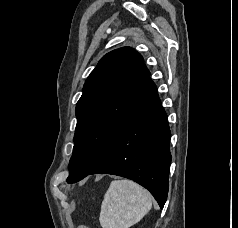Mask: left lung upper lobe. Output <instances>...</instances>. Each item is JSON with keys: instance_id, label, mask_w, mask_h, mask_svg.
Segmentation results:
<instances>
[{"instance_id": "5c2ea615", "label": "left lung upper lobe", "mask_w": 238, "mask_h": 228, "mask_svg": "<svg viewBox=\"0 0 238 228\" xmlns=\"http://www.w3.org/2000/svg\"><path fill=\"white\" fill-rule=\"evenodd\" d=\"M149 81L143 57L130 47L111 51L99 61L76 105L69 177L88 173L105 159Z\"/></svg>"}]
</instances>
